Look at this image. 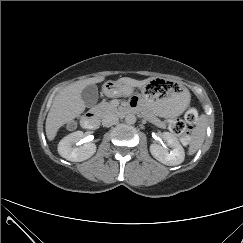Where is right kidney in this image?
I'll return each instance as SVG.
<instances>
[{"mask_svg": "<svg viewBox=\"0 0 243 243\" xmlns=\"http://www.w3.org/2000/svg\"><path fill=\"white\" fill-rule=\"evenodd\" d=\"M84 137L85 134L82 131L67 135L59 142L58 153L61 157L73 162L87 160L96 152V145L92 142H86Z\"/></svg>", "mask_w": 243, "mask_h": 243, "instance_id": "1", "label": "right kidney"}]
</instances>
